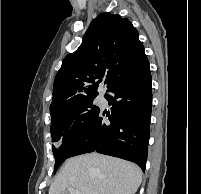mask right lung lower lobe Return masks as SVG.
Instances as JSON below:
<instances>
[{"instance_id": "98d812e1", "label": "right lung lower lobe", "mask_w": 201, "mask_h": 194, "mask_svg": "<svg viewBox=\"0 0 201 194\" xmlns=\"http://www.w3.org/2000/svg\"><path fill=\"white\" fill-rule=\"evenodd\" d=\"M152 79L147 56L105 95L112 105L110 123L99 112L88 124L66 139L58 154L67 159L97 151L136 163L143 172L147 161L152 105Z\"/></svg>"}]
</instances>
